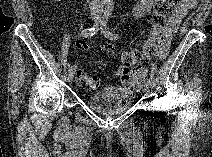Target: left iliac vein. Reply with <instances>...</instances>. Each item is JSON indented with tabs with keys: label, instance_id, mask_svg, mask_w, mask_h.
Segmentation results:
<instances>
[{
	"label": "left iliac vein",
	"instance_id": "obj_1",
	"mask_svg": "<svg viewBox=\"0 0 212 157\" xmlns=\"http://www.w3.org/2000/svg\"><path fill=\"white\" fill-rule=\"evenodd\" d=\"M142 90H143V92H145V93H149V92H150V87H149V85L143 84V85H142Z\"/></svg>",
	"mask_w": 212,
	"mask_h": 157
}]
</instances>
